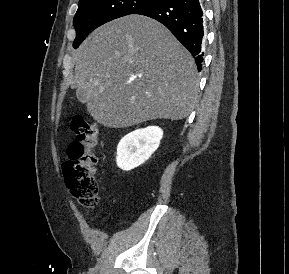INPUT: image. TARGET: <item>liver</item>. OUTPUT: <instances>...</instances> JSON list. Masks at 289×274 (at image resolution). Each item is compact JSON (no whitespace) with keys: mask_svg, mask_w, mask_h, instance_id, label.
<instances>
[{"mask_svg":"<svg viewBox=\"0 0 289 274\" xmlns=\"http://www.w3.org/2000/svg\"><path fill=\"white\" fill-rule=\"evenodd\" d=\"M69 84L86 93V107L107 128L186 118L198 100L190 52L159 22L129 15L94 30L74 52Z\"/></svg>","mask_w":289,"mask_h":274,"instance_id":"liver-1","label":"liver"}]
</instances>
